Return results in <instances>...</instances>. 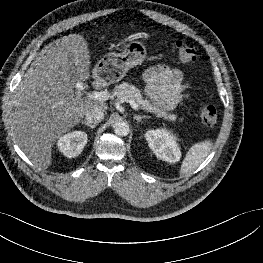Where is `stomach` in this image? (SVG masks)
<instances>
[{"mask_svg":"<svg viewBox=\"0 0 263 263\" xmlns=\"http://www.w3.org/2000/svg\"><path fill=\"white\" fill-rule=\"evenodd\" d=\"M147 58V48L140 41H129L121 53L104 55L93 69V78L103 83H115L123 79L129 69L141 65Z\"/></svg>","mask_w":263,"mask_h":263,"instance_id":"0dacf381","label":"stomach"}]
</instances>
